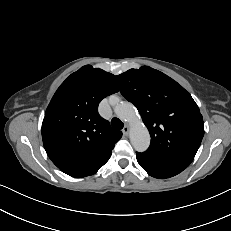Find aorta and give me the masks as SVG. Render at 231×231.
Instances as JSON below:
<instances>
[{
	"mask_svg": "<svg viewBox=\"0 0 231 231\" xmlns=\"http://www.w3.org/2000/svg\"><path fill=\"white\" fill-rule=\"evenodd\" d=\"M114 112L118 118L130 124V141L134 149L138 152L146 151L150 145V134L146 126L140 120L133 104L130 102H120L115 105Z\"/></svg>",
	"mask_w": 231,
	"mask_h": 231,
	"instance_id": "obj_1",
	"label": "aorta"
}]
</instances>
